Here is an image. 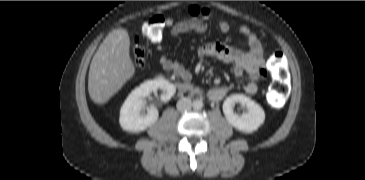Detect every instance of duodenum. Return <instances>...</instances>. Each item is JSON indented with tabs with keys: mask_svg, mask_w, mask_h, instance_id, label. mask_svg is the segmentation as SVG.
<instances>
[{
	"mask_svg": "<svg viewBox=\"0 0 365 180\" xmlns=\"http://www.w3.org/2000/svg\"><path fill=\"white\" fill-rule=\"evenodd\" d=\"M177 88L182 91V92H186V91H189V92H194V93H197L198 91L185 85V84H182V83H179L177 84Z\"/></svg>",
	"mask_w": 365,
	"mask_h": 180,
	"instance_id": "410a0bca",
	"label": "duodenum"
}]
</instances>
